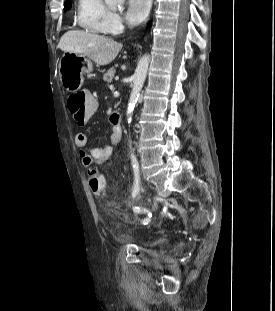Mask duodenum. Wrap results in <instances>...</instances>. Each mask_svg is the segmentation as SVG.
I'll list each match as a JSON object with an SVG mask.
<instances>
[{
    "mask_svg": "<svg viewBox=\"0 0 275 311\" xmlns=\"http://www.w3.org/2000/svg\"><path fill=\"white\" fill-rule=\"evenodd\" d=\"M113 116H116V119H120V121H121V116H120L119 113L113 112V113L111 114V117H110V118H113Z\"/></svg>",
    "mask_w": 275,
    "mask_h": 311,
    "instance_id": "410a0bca",
    "label": "duodenum"
}]
</instances>
